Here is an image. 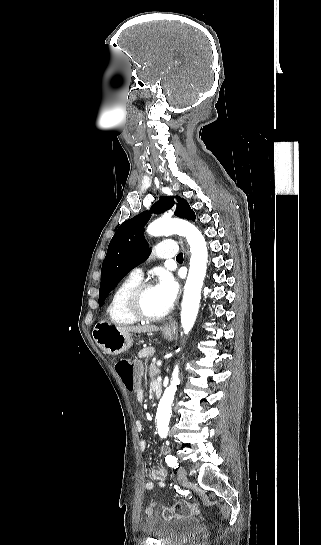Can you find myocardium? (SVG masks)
Wrapping results in <instances>:
<instances>
[{"label":"myocardium","mask_w":321,"mask_h":545,"mask_svg":"<svg viewBox=\"0 0 321 545\" xmlns=\"http://www.w3.org/2000/svg\"><path fill=\"white\" fill-rule=\"evenodd\" d=\"M153 288V285L149 282H139L134 285L125 295L124 298V312L125 314L135 322H155L162 320L169 314V310L162 314H148L140 308V298L143 293Z\"/></svg>","instance_id":"obj_1"}]
</instances>
